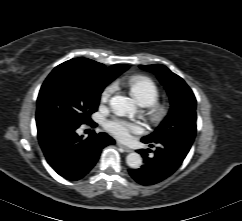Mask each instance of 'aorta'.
Here are the masks:
<instances>
[{"mask_svg": "<svg viewBox=\"0 0 242 221\" xmlns=\"http://www.w3.org/2000/svg\"><path fill=\"white\" fill-rule=\"evenodd\" d=\"M111 108L118 113H129L134 111L132 100L125 96H114L110 99ZM126 163L130 168L137 169L142 165V157L136 152L129 153L126 157Z\"/></svg>", "mask_w": 242, "mask_h": 221, "instance_id": "762f6f07", "label": "aorta"}]
</instances>
